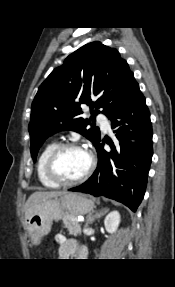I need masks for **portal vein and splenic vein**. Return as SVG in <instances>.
<instances>
[{
	"label": "portal vein and splenic vein",
	"mask_w": 175,
	"mask_h": 287,
	"mask_svg": "<svg viewBox=\"0 0 175 287\" xmlns=\"http://www.w3.org/2000/svg\"><path fill=\"white\" fill-rule=\"evenodd\" d=\"M84 219L83 218H78L77 221L78 222H82Z\"/></svg>",
	"instance_id": "18ae733b"
}]
</instances>
